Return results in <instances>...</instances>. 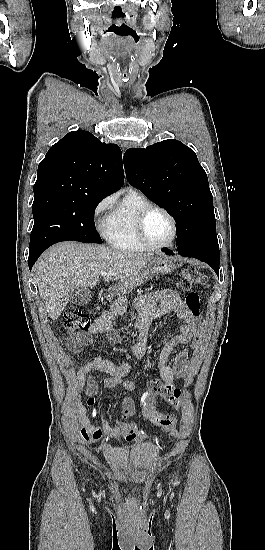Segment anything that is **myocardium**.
Listing matches in <instances>:
<instances>
[{"label": "myocardium", "mask_w": 265, "mask_h": 550, "mask_svg": "<svg viewBox=\"0 0 265 550\" xmlns=\"http://www.w3.org/2000/svg\"><path fill=\"white\" fill-rule=\"evenodd\" d=\"M153 211H160V212L164 213L171 221L172 236H171L170 240L168 242L164 243V244H160V245L153 244L149 240V238L146 234V220H147L148 216ZM136 233H137V237H138L139 241L141 242V244L145 248L150 249V250L165 249V248H168L171 245H173V243L176 241L177 234H178L177 221H176L174 215L169 210H167L166 208H164L162 206H159V205L150 204L147 207H145L144 209H142L141 212L139 213L138 217H137V220H136Z\"/></svg>", "instance_id": "f54148a6"}]
</instances>
